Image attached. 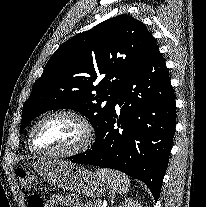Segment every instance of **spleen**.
I'll list each match as a JSON object with an SVG mask.
<instances>
[{"label": "spleen", "mask_w": 206, "mask_h": 207, "mask_svg": "<svg viewBox=\"0 0 206 207\" xmlns=\"http://www.w3.org/2000/svg\"><path fill=\"white\" fill-rule=\"evenodd\" d=\"M96 174L108 182L113 192L124 194L128 191L130 180L125 174L107 169H98Z\"/></svg>", "instance_id": "obj_1"}]
</instances>
